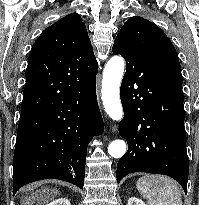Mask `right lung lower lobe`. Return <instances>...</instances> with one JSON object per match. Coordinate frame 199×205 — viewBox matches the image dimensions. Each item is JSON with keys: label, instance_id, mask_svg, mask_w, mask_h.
<instances>
[{"label": "right lung lower lobe", "instance_id": "right-lung-lower-lobe-1", "mask_svg": "<svg viewBox=\"0 0 199 205\" xmlns=\"http://www.w3.org/2000/svg\"><path fill=\"white\" fill-rule=\"evenodd\" d=\"M96 77L51 105L20 118L13 158V195L24 185L59 179L83 189L87 146L104 126ZM41 83L26 85L36 90Z\"/></svg>", "mask_w": 199, "mask_h": 205}]
</instances>
